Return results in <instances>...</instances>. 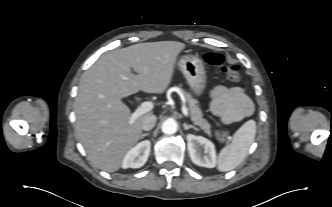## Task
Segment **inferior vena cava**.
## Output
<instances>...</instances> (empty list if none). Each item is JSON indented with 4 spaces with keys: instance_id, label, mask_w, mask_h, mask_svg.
<instances>
[{
    "instance_id": "1",
    "label": "inferior vena cava",
    "mask_w": 332,
    "mask_h": 207,
    "mask_svg": "<svg viewBox=\"0 0 332 207\" xmlns=\"http://www.w3.org/2000/svg\"><path fill=\"white\" fill-rule=\"evenodd\" d=\"M156 116L155 115H149L142 123V129L145 131H149L153 129L156 123Z\"/></svg>"
}]
</instances>
